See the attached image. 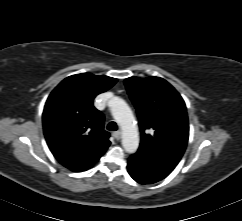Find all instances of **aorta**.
<instances>
[{
  "label": "aorta",
  "instance_id": "762f6f07",
  "mask_svg": "<svg viewBox=\"0 0 242 221\" xmlns=\"http://www.w3.org/2000/svg\"><path fill=\"white\" fill-rule=\"evenodd\" d=\"M111 113L122 129V146L128 153H135L139 146V134L133 113L121 98H114Z\"/></svg>",
  "mask_w": 242,
  "mask_h": 221
}]
</instances>
